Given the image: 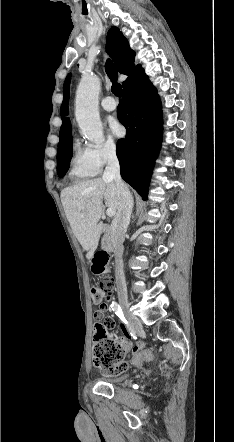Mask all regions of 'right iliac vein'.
<instances>
[{
	"mask_svg": "<svg viewBox=\"0 0 234 442\" xmlns=\"http://www.w3.org/2000/svg\"><path fill=\"white\" fill-rule=\"evenodd\" d=\"M121 306L124 310V313L128 319L129 325L134 328L135 330L139 329L141 326L140 320L138 319V317L133 314L130 310H129V304L126 300H122L121 301Z\"/></svg>",
	"mask_w": 234,
	"mask_h": 442,
	"instance_id": "right-iliac-vein-1",
	"label": "right iliac vein"
}]
</instances>
